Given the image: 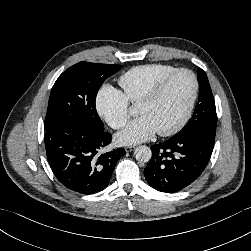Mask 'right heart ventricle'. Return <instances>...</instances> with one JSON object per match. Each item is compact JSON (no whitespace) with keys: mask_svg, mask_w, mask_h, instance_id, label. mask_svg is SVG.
<instances>
[{"mask_svg":"<svg viewBox=\"0 0 251 251\" xmlns=\"http://www.w3.org/2000/svg\"><path fill=\"white\" fill-rule=\"evenodd\" d=\"M176 69L168 64L141 65L122 74L118 83L127 102L138 103L156 83Z\"/></svg>","mask_w":251,"mask_h":251,"instance_id":"e07e8e85","label":"right heart ventricle"}]
</instances>
